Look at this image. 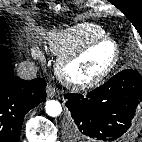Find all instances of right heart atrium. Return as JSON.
Wrapping results in <instances>:
<instances>
[{"instance_id":"obj_1","label":"right heart atrium","mask_w":142,"mask_h":142,"mask_svg":"<svg viewBox=\"0 0 142 142\" xmlns=\"http://www.w3.org/2000/svg\"><path fill=\"white\" fill-rule=\"evenodd\" d=\"M34 55H35V56H37V57H39V56H40V54H39V52H38V51H34Z\"/></svg>"}]
</instances>
